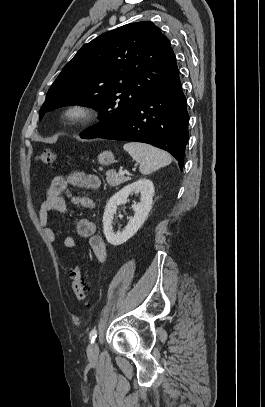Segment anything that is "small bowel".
<instances>
[{"label": "small bowel", "mask_w": 265, "mask_h": 407, "mask_svg": "<svg viewBox=\"0 0 265 407\" xmlns=\"http://www.w3.org/2000/svg\"><path fill=\"white\" fill-rule=\"evenodd\" d=\"M76 186L82 189L96 191L101 187V180L97 175L74 173L71 175L56 176L46 193V198L41 204L39 211V219L43 225V230L46 238L50 242H54L56 238V230L50 225L52 213L58 215L68 214V205L63 194L71 197L70 186ZM74 203L81 204L86 208H90L92 203L87 198L76 199L72 198ZM76 234L82 238L88 239V244L93 251L96 259L99 262H104L106 259V246L104 240L97 234L96 225L89 218H81L75 225ZM64 245L67 248H78L80 243L70 235L64 238Z\"/></svg>", "instance_id": "obj_1"}]
</instances>
